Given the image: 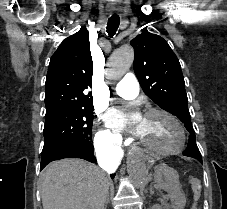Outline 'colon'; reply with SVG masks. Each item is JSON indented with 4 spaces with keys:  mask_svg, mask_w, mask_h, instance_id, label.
<instances>
[{
    "mask_svg": "<svg viewBox=\"0 0 227 209\" xmlns=\"http://www.w3.org/2000/svg\"><path fill=\"white\" fill-rule=\"evenodd\" d=\"M189 182L193 194V205L191 209H199L198 203L202 193V184L200 180L196 177H191Z\"/></svg>",
    "mask_w": 227,
    "mask_h": 209,
    "instance_id": "colon-1",
    "label": "colon"
}]
</instances>
